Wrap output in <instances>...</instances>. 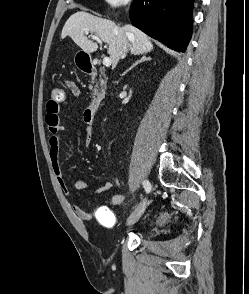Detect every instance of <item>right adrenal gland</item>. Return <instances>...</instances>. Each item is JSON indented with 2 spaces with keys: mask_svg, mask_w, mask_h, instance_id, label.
<instances>
[{
  "mask_svg": "<svg viewBox=\"0 0 249 294\" xmlns=\"http://www.w3.org/2000/svg\"><path fill=\"white\" fill-rule=\"evenodd\" d=\"M151 58L150 57H146V56H142L139 60H137L135 63H133V65H131V67H129L125 73H127L128 71H130L131 69H133L136 65H138L139 63H142L144 61H150Z\"/></svg>",
  "mask_w": 249,
  "mask_h": 294,
  "instance_id": "1",
  "label": "right adrenal gland"
}]
</instances>
